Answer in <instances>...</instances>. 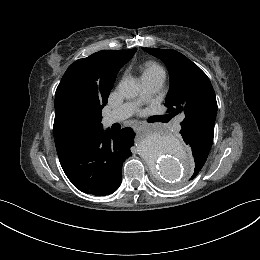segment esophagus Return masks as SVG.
I'll return each instance as SVG.
<instances>
[{
	"mask_svg": "<svg viewBox=\"0 0 260 260\" xmlns=\"http://www.w3.org/2000/svg\"><path fill=\"white\" fill-rule=\"evenodd\" d=\"M147 125H148L147 122L140 121V122H136L135 123V128H136V130H139V129L147 126Z\"/></svg>",
	"mask_w": 260,
	"mask_h": 260,
	"instance_id": "34e87169",
	"label": "esophagus"
}]
</instances>
